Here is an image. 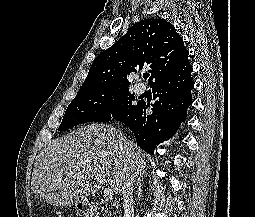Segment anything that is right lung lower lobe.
<instances>
[{
    "label": "right lung lower lobe",
    "instance_id": "98d812e1",
    "mask_svg": "<svg viewBox=\"0 0 255 217\" xmlns=\"http://www.w3.org/2000/svg\"><path fill=\"white\" fill-rule=\"evenodd\" d=\"M192 66L188 59L174 70L155 79L150 85L155 103L151 115H146L149 106L139 101L128 114L117 118L134 134L140 148L153 153L159 143L175 134L185 120L187 108L192 104Z\"/></svg>",
    "mask_w": 255,
    "mask_h": 217
}]
</instances>
